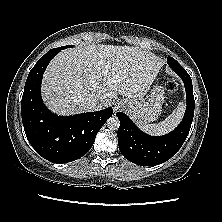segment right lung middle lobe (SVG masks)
Returning a JSON list of instances; mask_svg holds the SVG:
<instances>
[{"label":"right lung middle lobe","instance_id":"1","mask_svg":"<svg viewBox=\"0 0 222 222\" xmlns=\"http://www.w3.org/2000/svg\"><path fill=\"white\" fill-rule=\"evenodd\" d=\"M69 47H73V45H67V46H62V47H59V48H55L54 50H63V49H66V48H69Z\"/></svg>","mask_w":222,"mask_h":222}]
</instances>
